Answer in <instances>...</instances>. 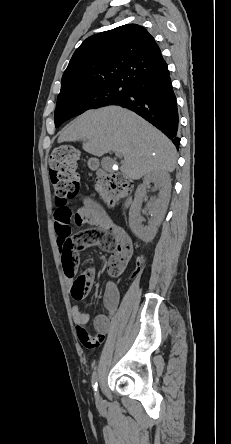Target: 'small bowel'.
<instances>
[{"mask_svg":"<svg viewBox=\"0 0 231 444\" xmlns=\"http://www.w3.org/2000/svg\"><path fill=\"white\" fill-rule=\"evenodd\" d=\"M79 226L93 224L92 229H83L78 233L72 232V223ZM54 223L60 253L63 258L65 252L76 254L91 246H98L104 251H124L128 257L132 254V242L126 232L118 227L103 209L91 200L83 203L79 211L73 216L66 200H56ZM65 275L69 281L75 276V269L64 267ZM104 305L108 314H99L94 319L95 333L91 334L87 329L89 315L79 309L77 305L72 307V318L76 325V333L79 341L88 348L98 347L104 335L112 328L113 318L120 305V292L117 285L109 282L104 293Z\"/></svg>","mask_w":231,"mask_h":444,"instance_id":"1","label":"small bowel"}]
</instances>
